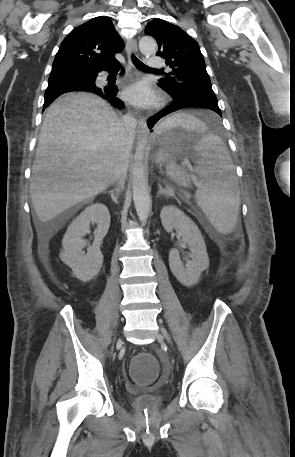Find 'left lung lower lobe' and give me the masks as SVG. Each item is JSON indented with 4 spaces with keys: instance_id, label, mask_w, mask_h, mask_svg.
Returning <instances> with one entry per match:
<instances>
[{
    "instance_id": "obj_1",
    "label": "left lung lower lobe",
    "mask_w": 295,
    "mask_h": 457,
    "mask_svg": "<svg viewBox=\"0 0 295 457\" xmlns=\"http://www.w3.org/2000/svg\"><path fill=\"white\" fill-rule=\"evenodd\" d=\"M191 106H201L205 108H209L213 111H215L217 114L221 116V111L218 107V102L215 94H202V95H191L188 97H184L181 99H176L174 98L173 104L165 109L162 110L161 112L155 114L154 116L150 117L148 119V126L149 128H152L153 125L163 116L172 113L174 111H177L179 109H183L186 107H191Z\"/></svg>"
}]
</instances>
